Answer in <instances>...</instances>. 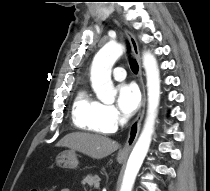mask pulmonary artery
Segmentation results:
<instances>
[{"label":"pulmonary artery","instance_id":"1","mask_svg":"<svg viewBox=\"0 0 210 191\" xmlns=\"http://www.w3.org/2000/svg\"><path fill=\"white\" fill-rule=\"evenodd\" d=\"M112 75L115 80L122 81L126 78V71L123 67H116L113 69Z\"/></svg>","mask_w":210,"mask_h":191}]
</instances>
